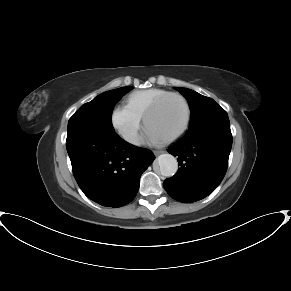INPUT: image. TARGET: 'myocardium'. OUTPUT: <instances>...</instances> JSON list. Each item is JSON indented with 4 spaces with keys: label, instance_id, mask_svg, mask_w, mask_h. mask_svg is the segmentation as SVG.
Returning a JSON list of instances; mask_svg holds the SVG:
<instances>
[{
    "label": "myocardium",
    "instance_id": "obj_1",
    "mask_svg": "<svg viewBox=\"0 0 291 291\" xmlns=\"http://www.w3.org/2000/svg\"><path fill=\"white\" fill-rule=\"evenodd\" d=\"M170 97H176L180 99L185 107V120L183 125L173 134L170 136L164 138V141H172L178 137H180L182 134H184L187 129L189 128L190 122H191V107L187 99L180 93L177 92H168L165 95L159 97L157 100L153 102V104L147 109L143 116L144 124L147 126L148 120L151 117V115L158 110V108Z\"/></svg>",
    "mask_w": 291,
    "mask_h": 291
}]
</instances>
